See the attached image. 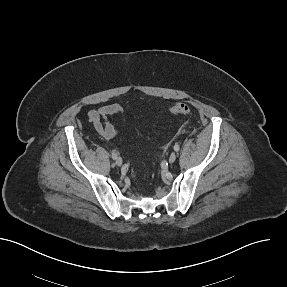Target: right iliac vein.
Masks as SVG:
<instances>
[{
	"label": "right iliac vein",
	"instance_id": "right-iliac-vein-1",
	"mask_svg": "<svg viewBox=\"0 0 287 287\" xmlns=\"http://www.w3.org/2000/svg\"><path fill=\"white\" fill-rule=\"evenodd\" d=\"M115 162H116L117 166H121L122 163H123V161H122V159L120 157H117Z\"/></svg>",
	"mask_w": 287,
	"mask_h": 287
}]
</instances>
